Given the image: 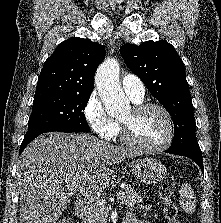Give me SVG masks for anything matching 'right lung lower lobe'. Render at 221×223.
Wrapping results in <instances>:
<instances>
[{
  "label": "right lung lower lobe",
  "instance_id": "98d812e1",
  "mask_svg": "<svg viewBox=\"0 0 221 223\" xmlns=\"http://www.w3.org/2000/svg\"><path fill=\"white\" fill-rule=\"evenodd\" d=\"M52 131H60V132H66V133H72L74 131H69V130H47V131H41L39 133L33 134V135H29V136H25L24 140L20 146V150H19V154L24 150V148L33 140L35 139L37 136H39L42 133H46V132H52Z\"/></svg>",
  "mask_w": 221,
  "mask_h": 223
}]
</instances>
